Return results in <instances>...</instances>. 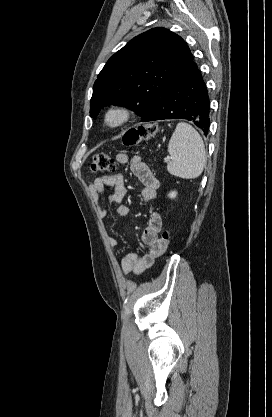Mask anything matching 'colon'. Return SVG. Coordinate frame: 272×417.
Masks as SVG:
<instances>
[{
	"label": "colon",
	"instance_id": "1",
	"mask_svg": "<svg viewBox=\"0 0 272 417\" xmlns=\"http://www.w3.org/2000/svg\"><path fill=\"white\" fill-rule=\"evenodd\" d=\"M158 132L156 124H145L130 128L122 137L123 144L126 146H137L145 139L154 137ZM116 168L115 161L106 154H96L91 163L93 172H111ZM170 231L165 230L161 235V241L164 245H168L170 241Z\"/></svg>",
	"mask_w": 272,
	"mask_h": 417
}]
</instances>
